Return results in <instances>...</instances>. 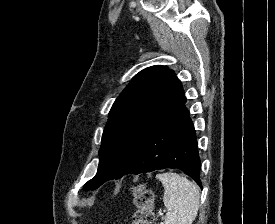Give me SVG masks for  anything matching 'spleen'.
<instances>
[{
    "instance_id": "1",
    "label": "spleen",
    "mask_w": 275,
    "mask_h": 224,
    "mask_svg": "<svg viewBox=\"0 0 275 224\" xmlns=\"http://www.w3.org/2000/svg\"><path fill=\"white\" fill-rule=\"evenodd\" d=\"M156 178L164 187L163 202L168 210L161 224H192L200 205L197 185L173 172L157 174Z\"/></svg>"
}]
</instances>
